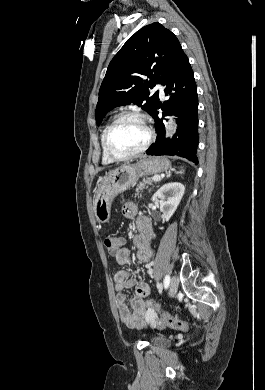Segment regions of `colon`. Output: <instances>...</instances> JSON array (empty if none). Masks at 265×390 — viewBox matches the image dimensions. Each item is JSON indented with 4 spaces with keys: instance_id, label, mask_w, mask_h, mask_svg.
Returning a JSON list of instances; mask_svg holds the SVG:
<instances>
[{
    "instance_id": "colon-1",
    "label": "colon",
    "mask_w": 265,
    "mask_h": 390,
    "mask_svg": "<svg viewBox=\"0 0 265 390\" xmlns=\"http://www.w3.org/2000/svg\"><path fill=\"white\" fill-rule=\"evenodd\" d=\"M104 244L108 249L109 253L113 255L118 249V238L114 235H108L104 240ZM145 305L147 312L152 315L158 314L160 316V326H167L172 329L182 331L188 330L190 328V325L187 322L172 317L170 314L163 311L156 301L147 299L145 300Z\"/></svg>"
}]
</instances>
